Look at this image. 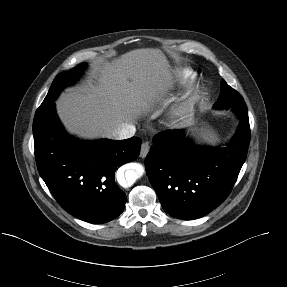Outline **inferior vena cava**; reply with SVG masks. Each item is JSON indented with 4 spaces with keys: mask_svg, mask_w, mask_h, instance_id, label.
Instances as JSON below:
<instances>
[{
    "mask_svg": "<svg viewBox=\"0 0 287 287\" xmlns=\"http://www.w3.org/2000/svg\"><path fill=\"white\" fill-rule=\"evenodd\" d=\"M136 128L129 123L122 124L119 128L114 129L111 133V138L116 140H123L134 136Z\"/></svg>",
    "mask_w": 287,
    "mask_h": 287,
    "instance_id": "1",
    "label": "inferior vena cava"
}]
</instances>
